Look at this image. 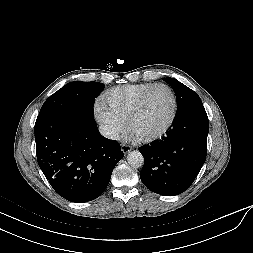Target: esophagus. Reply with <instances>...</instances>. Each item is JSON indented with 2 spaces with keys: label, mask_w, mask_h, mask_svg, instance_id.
I'll return each instance as SVG.
<instances>
[{
  "label": "esophagus",
  "mask_w": 253,
  "mask_h": 253,
  "mask_svg": "<svg viewBox=\"0 0 253 253\" xmlns=\"http://www.w3.org/2000/svg\"><path fill=\"white\" fill-rule=\"evenodd\" d=\"M121 150H122V152H123L124 154H127V153H129V152L131 151V147H130L129 145L123 144V145L121 146Z\"/></svg>",
  "instance_id": "esophagus-1"
}]
</instances>
